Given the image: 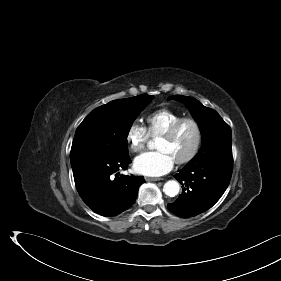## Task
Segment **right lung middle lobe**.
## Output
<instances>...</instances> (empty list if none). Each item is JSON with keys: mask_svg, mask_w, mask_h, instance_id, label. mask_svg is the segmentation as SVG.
<instances>
[{"mask_svg": "<svg viewBox=\"0 0 281 281\" xmlns=\"http://www.w3.org/2000/svg\"><path fill=\"white\" fill-rule=\"evenodd\" d=\"M154 96L119 99L94 109L78 126L70 152L71 165L92 159L128 157L127 136L141 110Z\"/></svg>", "mask_w": 281, "mask_h": 281, "instance_id": "dd1d6c3e", "label": "right lung middle lobe"}]
</instances>
